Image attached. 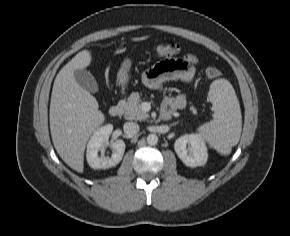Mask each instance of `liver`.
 I'll return each mask as SVG.
<instances>
[{
	"label": "liver",
	"mask_w": 290,
	"mask_h": 236,
	"mask_svg": "<svg viewBox=\"0 0 290 236\" xmlns=\"http://www.w3.org/2000/svg\"><path fill=\"white\" fill-rule=\"evenodd\" d=\"M88 50L76 54L57 74L50 102V131L54 147L62 160L79 173L84 170L87 141L105 120L94 96L82 88L74 71L91 63Z\"/></svg>",
	"instance_id": "liver-1"
}]
</instances>
